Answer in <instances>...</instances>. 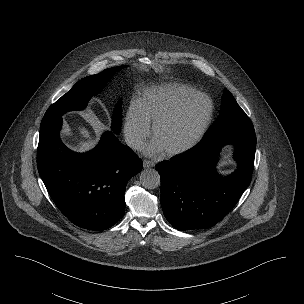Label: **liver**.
<instances>
[{
	"label": "liver",
	"instance_id": "1",
	"mask_svg": "<svg viewBox=\"0 0 304 304\" xmlns=\"http://www.w3.org/2000/svg\"><path fill=\"white\" fill-rule=\"evenodd\" d=\"M78 129L81 139L78 141L77 145H72L70 148L74 151L84 152L92 148L97 143V138L92 137L88 129L83 126H79Z\"/></svg>",
	"mask_w": 304,
	"mask_h": 304
}]
</instances>
